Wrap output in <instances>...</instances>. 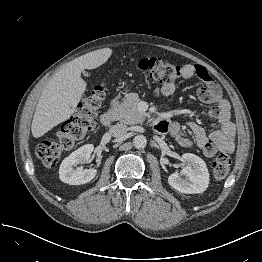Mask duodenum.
<instances>
[{
  "label": "duodenum",
  "instance_id": "obj_1",
  "mask_svg": "<svg viewBox=\"0 0 262 262\" xmlns=\"http://www.w3.org/2000/svg\"><path fill=\"white\" fill-rule=\"evenodd\" d=\"M117 102L116 101H113L112 102V109L109 110V111H106L104 112L101 117H100V122L103 126L107 127L109 125H111V123H113L114 119L116 118V109H115V106H116Z\"/></svg>",
  "mask_w": 262,
  "mask_h": 262
}]
</instances>
